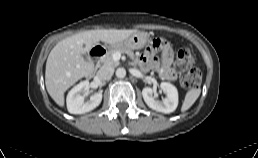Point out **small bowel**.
<instances>
[{
    "label": "small bowel",
    "mask_w": 258,
    "mask_h": 158,
    "mask_svg": "<svg viewBox=\"0 0 258 158\" xmlns=\"http://www.w3.org/2000/svg\"><path fill=\"white\" fill-rule=\"evenodd\" d=\"M162 51L161 60L157 57V51ZM137 62L143 69L156 70L159 76L167 81H173L177 75L172 67L173 63V50L165 42L160 43L159 47L151 45L147 48L144 55L137 58Z\"/></svg>",
    "instance_id": "obj_1"
}]
</instances>
